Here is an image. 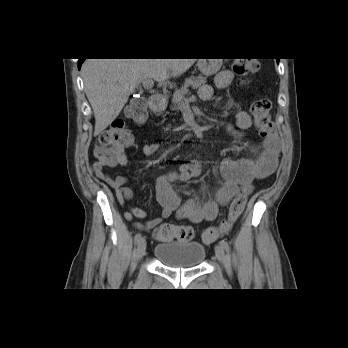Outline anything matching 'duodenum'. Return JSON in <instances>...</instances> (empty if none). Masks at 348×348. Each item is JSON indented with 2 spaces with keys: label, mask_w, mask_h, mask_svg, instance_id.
Here are the masks:
<instances>
[{
  "label": "duodenum",
  "mask_w": 348,
  "mask_h": 348,
  "mask_svg": "<svg viewBox=\"0 0 348 348\" xmlns=\"http://www.w3.org/2000/svg\"><path fill=\"white\" fill-rule=\"evenodd\" d=\"M165 105L164 98L160 95H154L150 99V108L151 110L157 112L161 111Z\"/></svg>",
  "instance_id": "obj_1"
}]
</instances>
